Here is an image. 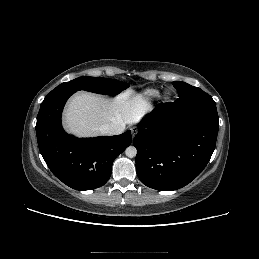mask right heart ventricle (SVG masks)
<instances>
[{"instance_id":"right-heart-ventricle-1","label":"right heart ventricle","mask_w":259,"mask_h":259,"mask_svg":"<svg viewBox=\"0 0 259 259\" xmlns=\"http://www.w3.org/2000/svg\"><path fill=\"white\" fill-rule=\"evenodd\" d=\"M158 96V91L156 89H148L143 94L142 97L146 100H153Z\"/></svg>"}]
</instances>
